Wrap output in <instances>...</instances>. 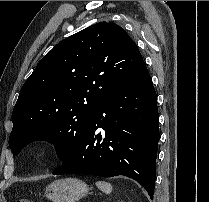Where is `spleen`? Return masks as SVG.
Listing matches in <instances>:
<instances>
[{"label": "spleen", "instance_id": "1", "mask_svg": "<svg viewBox=\"0 0 209 202\" xmlns=\"http://www.w3.org/2000/svg\"><path fill=\"white\" fill-rule=\"evenodd\" d=\"M96 186L98 187V189H100L101 191H103L106 194H109L112 191V185L110 183L105 182V181H97Z\"/></svg>", "mask_w": 209, "mask_h": 202}]
</instances>
